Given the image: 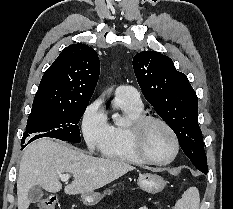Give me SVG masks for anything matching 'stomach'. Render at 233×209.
Wrapping results in <instances>:
<instances>
[{
	"mask_svg": "<svg viewBox=\"0 0 233 209\" xmlns=\"http://www.w3.org/2000/svg\"><path fill=\"white\" fill-rule=\"evenodd\" d=\"M164 179L154 173H143L138 177V186L141 190L154 194L160 192L165 186ZM108 194L111 191H107ZM106 193L89 192L81 195V201L86 206H94L98 204Z\"/></svg>",
	"mask_w": 233,
	"mask_h": 209,
	"instance_id": "0dacf381",
	"label": "stomach"
}]
</instances>
